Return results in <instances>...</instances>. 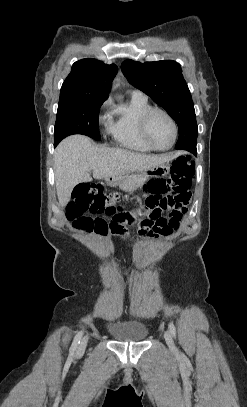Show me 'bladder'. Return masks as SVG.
I'll return each mask as SVG.
<instances>
[{"label": "bladder", "instance_id": "bladder-1", "mask_svg": "<svg viewBox=\"0 0 247 407\" xmlns=\"http://www.w3.org/2000/svg\"><path fill=\"white\" fill-rule=\"evenodd\" d=\"M106 330L114 340L122 342H144L149 333L147 326L140 321L109 322Z\"/></svg>", "mask_w": 247, "mask_h": 407}]
</instances>
